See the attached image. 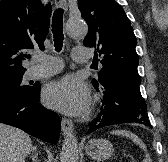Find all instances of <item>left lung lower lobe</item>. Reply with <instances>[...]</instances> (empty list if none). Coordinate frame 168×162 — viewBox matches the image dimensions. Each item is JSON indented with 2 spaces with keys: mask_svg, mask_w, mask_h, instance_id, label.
<instances>
[{
  "mask_svg": "<svg viewBox=\"0 0 168 162\" xmlns=\"http://www.w3.org/2000/svg\"><path fill=\"white\" fill-rule=\"evenodd\" d=\"M98 90L105 95L102 100L105 106L101 107L96 119L89 123V133L105 126L131 122L152 128L139 86L118 80L110 81Z\"/></svg>",
  "mask_w": 168,
  "mask_h": 162,
  "instance_id": "left-lung-lower-lobe-1",
  "label": "left lung lower lobe"
}]
</instances>
